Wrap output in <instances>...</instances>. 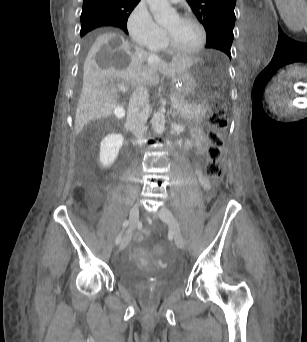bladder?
I'll use <instances>...</instances> for the list:
<instances>
[{
  "instance_id": "1",
  "label": "bladder",
  "mask_w": 307,
  "mask_h": 342,
  "mask_svg": "<svg viewBox=\"0 0 307 342\" xmlns=\"http://www.w3.org/2000/svg\"><path fill=\"white\" fill-rule=\"evenodd\" d=\"M119 279L125 287L134 293L153 299L165 296L180 282V277L176 274L157 278L151 270L132 262L122 265Z\"/></svg>"
}]
</instances>
